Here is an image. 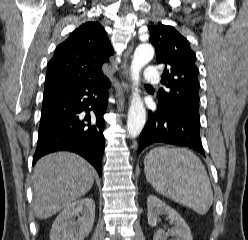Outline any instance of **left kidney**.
I'll return each instance as SVG.
<instances>
[{
    "label": "left kidney",
    "instance_id": "obj_1",
    "mask_svg": "<svg viewBox=\"0 0 248 240\" xmlns=\"http://www.w3.org/2000/svg\"><path fill=\"white\" fill-rule=\"evenodd\" d=\"M147 217L151 226H156L159 221V215H166L174 223V228L165 232L162 229L154 234L153 240H167L168 234L175 236V240H193L190 228L180 214L166 205L163 201L154 195L147 199Z\"/></svg>",
    "mask_w": 248,
    "mask_h": 240
}]
</instances>
